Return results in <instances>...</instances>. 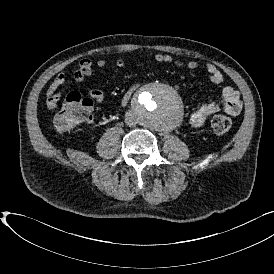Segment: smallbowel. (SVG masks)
<instances>
[{"instance_id":"1","label":"small bowel","mask_w":274,"mask_h":274,"mask_svg":"<svg viewBox=\"0 0 274 274\" xmlns=\"http://www.w3.org/2000/svg\"><path fill=\"white\" fill-rule=\"evenodd\" d=\"M153 60L160 64H172L180 68L188 70H196L199 68V63L197 61H180L173 58L170 55L157 53L153 56ZM115 66L121 69L125 66V61L118 58L115 61ZM103 69L106 67V61L104 59H98L93 62L90 59H83L79 62L78 66L73 71V80L77 84L83 83L85 78L93 75L94 68ZM205 70L208 74L210 81L214 84L220 85L224 83L225 77L220 69L212 63L205 64ZM70 83V80L63 74H59L54 81L49 86L48 90L42 92V97L44 101L48 104L49 110L51 112H56L58 110V105L56 99L53 95L57 96L60 92ZM139 83L131 85L122 97V105L125 106L132 95L138 89ZM88 98H85V102L92 107L93 104L102 103L104 100V93L98 88H88L87 90ZM242 101L240 99L239 92L231 86H225L222 90V100L221 101H208L201 105L196 111H194L189 117V125L193 129L201 128L209 116L224 112L228 115L235 116L239 114L242 110ZM95 120V117H90L89 121Z\"/></svg>"}]
</instances>
